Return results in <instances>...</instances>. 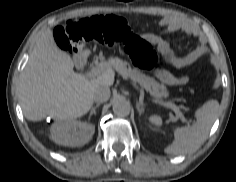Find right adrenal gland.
<instances>
[{
  "instance_id": "1",
  "label": "right adrenal gland",
  "mask_w": 236,
  "mask_h": 182,
  "mask_svg": "<svg viewBox=\"0 0 236 182\" xmlns=\"http://www.w3.org/2000/svg\"><path fill=\"white\" fill-rule=\"evenodd\" d=\"M100 106V103H97L95 106L92 107L90 113H89V120L93 114H96V109Z\"/></svg>"
}]
</instances>
